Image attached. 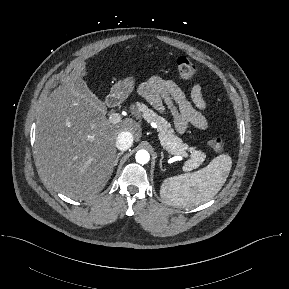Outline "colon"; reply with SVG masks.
I'll return each mask as SVG.
<instances>
[{
  "label": "colon",
  "mask_w": 289,
  "mask_h": 289,
  "mask_svg": "<svg viewBox=\"0 0 289 289\" xmlns=\"http://www.w3.org/2000/svg\"><path fill=\"white\" fill-rule=\"evenodd\" d=\"M176 68L180 77L186 80L194 78L197 73L196 66L185 56L177 58ZM207 142L215 152H222L224 150V140L220 137H211Z\"/></svg>",
  "instance_id": "1"
}]
</instances>
